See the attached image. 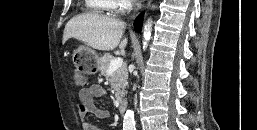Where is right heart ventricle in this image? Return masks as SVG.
<instances>
[{
	"instance_id": "obj_1",
	"label": "right heart ventricle",
	"mask_w": 257,
	"mask_h": 130,
	"mask_svg": "<svg viewBox=\"0 0 257 130\" xmlns=\"http://www.w3.org/2000/svg\"><path fill=\"white\" fill-rule=\"evenodd\" d=\"M85 4L88 10L95 13H109L116 7V0H85Z\"/></svg>"
}]
</instances>
